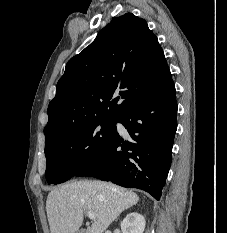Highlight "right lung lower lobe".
<instances>
[{
	"label": "right lung lower lobe",
	"instance_id": "obj_1",
	"mask_svg": "<svg viewBox=\"0 0 227 233\" xmlns=\"http://www.w3.org/2000/svg\"><path fill=\"white\" fill-rule=\"evenodd\" d=\"M177 102L173 80L121 115L128 132H115L95 158L75 176H91L161 197L171 165L177 128Z\"/></svg>",
	"mask_w": 227,
	"mask_h": 233
}]
</instances>
